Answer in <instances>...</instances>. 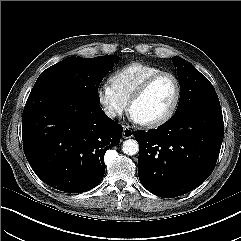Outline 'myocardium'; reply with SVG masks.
I'll return each instance as SVG.
<instances>
[{"mask_svg":"<svg viewBox=\"0 0 241 241\" xmlns=\"http://www.w3.org/2000/svg\"><path fill=\"white\" fill-rule=\"evenodd\" d=\"M164 76L172 78L175 83L176 93H175L174 101H173L171 107L169 108V110L162 117H160L156 120L150 121V122H145V123L140 122V124L145 128L154 129V128L161 127L162 125L166 124L168 121H170L173 118V116L175 115V113L179 107L181 95H182V88H181V83H180L179 78L172 72H168V71L157 72V73L151 75L149 78H147L138 87V89L133 93V95L131 96V98L128 102L129 103V112L132 115V108H133L134 104L146 94V92L149 90V88L153 85V83L155 81H157L159 78L164 77Z\"/></svg>","mask_w":241,"mask_h":241,"instance_id":"1","label":"myocardium"}]
</instances>
